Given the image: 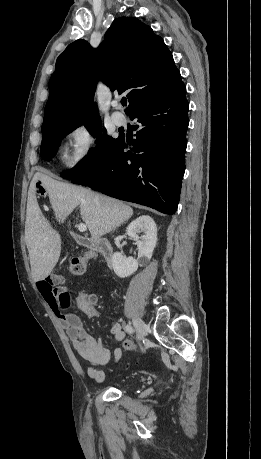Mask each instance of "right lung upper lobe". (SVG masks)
Instances as JSON below:
<instances>
[{"instance_id":"cb5924a9","label":"right lung upper lobe","mask_w":261,"mask_h":459,"mask_svg":"<svg viewBox=\"0 0 261 459\" xmlns=\"http://www.w3.org/2000/svg\"><path fill=\"white\" fill-rule=\"evenodd\" d=\"M98 76L112 91L128 92V114L166 96L182 83L161 37L136 18L116 19L96 50L86 41L77 40L58 57L49 81L42 131L100 119L92 104Z\"/></svg>"}]
</instances>
